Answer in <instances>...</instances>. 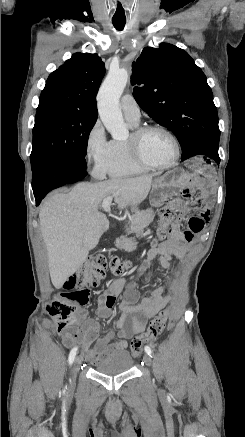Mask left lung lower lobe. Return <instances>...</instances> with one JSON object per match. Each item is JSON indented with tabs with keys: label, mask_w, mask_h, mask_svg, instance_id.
I'll use <instances>...</instances> for the list:
<instances>
[{
	"label": "left lung lower lobe",
	"mask_w": 245,
	"mask_h": 437,
	"mask_svg": "<svg viewBox=\"0 0 245 437\" xmlns=\"http://www.w3.org/2000/svg\"><path fill=\"white\" fill-rule=\"evenodd\" d=\"M208 156H209L211 159L215 160V162H216L217 164H219V162H220V158H219V155H218L217 152H210V153L208 154Z\"/></svg>",
	"instance_id": "1"
}]
</instances>
